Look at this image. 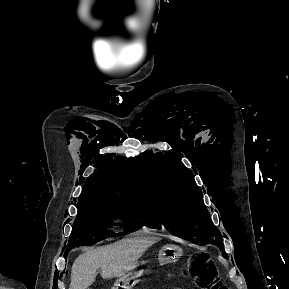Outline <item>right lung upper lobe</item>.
Masks as SVG:
<instances>
[{
	"label": "right lung upper lobe",
	"mask_w": 289,
	"mask_h": 289,
	"mask_svg": "<svg viewBox=\"0 0 289 289\" xmlns=\"http://www.w3.org/2000/svg\"><path fill=\"white\" fill-rule=\"evenodd\" d=\"M129 172V160L117 157L110 161L109 168H100L85 182L79 202L116 201L134 202L136 190Z\"/></svg>",
	"instance_id": "right-lung-upper-lobe-1"
}]
</instances>
